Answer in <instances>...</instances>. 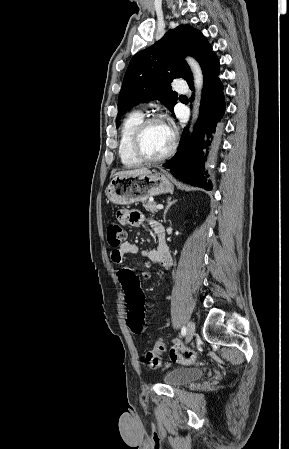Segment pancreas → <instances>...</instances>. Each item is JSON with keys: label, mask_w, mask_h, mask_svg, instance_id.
Wrapping results in <instances>:
<instances>
[{"label": "pancreas", "mask_w": 289, "mask_h": 449, "mask_svg": "<svg viewBox=\"0 0 289 449\" xmlns=\"http://www.w3.org/2000/svg\"><path fill=\"white\" fill-rule=\"evenodd\" d=\"M156 206H157V204H156V202H143V207L147 210V211H149V212H151V213H155V212H157V208H156Z\"/></svg>", "instance_id": "pancreas-1"}]
</instances>
